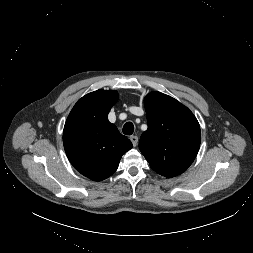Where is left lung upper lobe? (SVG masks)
<instances>
[{
	"label": "left lung upper lobe",
	"instance_id": "5c2ea615",
	"mask_svg": "<svg viewBox=\"0 0 253 253\" xmlns=\"http://www.w3.org/2000/svg\"><path fill=\"white\" fill-rule=\"evenodd\" d=\"M148 129L139 149L158 174L171 178L183 173L200 147V126L193 113L176 99L151 92L144 99Z\"/></svg>",
	"mask_w": 253,
	"mask_h": 253
}]
</instances>
